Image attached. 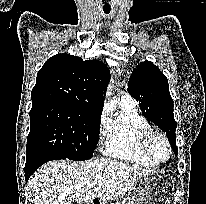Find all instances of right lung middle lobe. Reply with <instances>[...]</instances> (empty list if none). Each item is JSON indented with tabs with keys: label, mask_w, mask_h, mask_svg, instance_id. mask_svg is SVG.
I'll list each match as a JSON object with an SVG mask.
<instances>
[{
	"label": "right lung middle lobe",
	"mask_w": 206,
	"mask_h": 204,
	"mask_svg": "<svg viewBox=\"0 0 206 204\" xmlns=\"http://www.w3.org/2000/svg\"><path fill=\"white\" fill-rule=\"evenodd\" d=\"M101 113L64 103H32L26 155L45 151L53 159H90L99 139Z\"/></svg>",
	"instance_id": "dd1d6c3e"
}]
</instances>
